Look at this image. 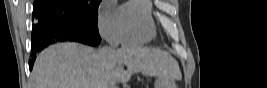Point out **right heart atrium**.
<instances>
[{
	"instance_id": "1",
	"label": "right heart atrium",
	"mask_w": 267,
	"mask_h": 88,
	"mask_svg": "<svg viewBox=\"0 0 267 88\" xmlns=\"http://www.w3.org/2000/svg\"><path fill=\"white\" fill-rule=\"evenodd\" d=\"M98 30L111 45H117L122 41L121 7L113 1L102 2L98 11Z\"/></svg>"
}]
</instances>
